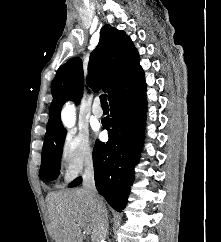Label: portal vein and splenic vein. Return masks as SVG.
I'll use <instances>...</instances> for the list:
<instances>
[{
  "mask_svg": "<svg viewBox=\"0 0 221 242\" xmlns=\"http://www.w3.org/2000/svg\"><path fill=\"white\" fill-rule=\"evenodd\" d=\"M85 232L88 234L89 233V231L88 230H85Z\"/></svg>",
  "mask_w": 221,
  "mask_h": 242,
  "instance_id": "portal-vein-and-splenic-vein-1",
  "label": "portal vein and splenic vein"
}]
</instances>
